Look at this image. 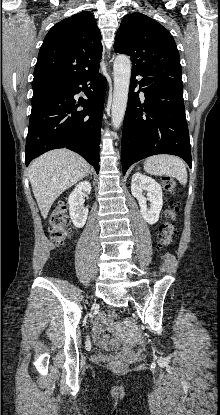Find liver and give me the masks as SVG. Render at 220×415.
<instances>
[{"mask_svg": "<svg viewBox=\"0 0 220 415\" xmlns=\"http://www.w3.org/2000/svg\"><path fill=\"white\" fill-rule=\"evenodd\" d=\"M89 171L87 161L67 149L52 150L35 159L28 172L42 217H47L60 194L82 180Z\"/></svg>", "mask_w": 220, "mask_h": 415, "instance_id": "obj_1", "label": "liver"}]
</instances>
